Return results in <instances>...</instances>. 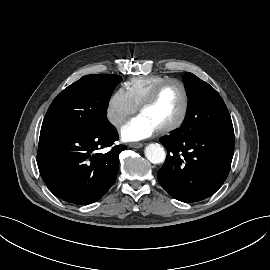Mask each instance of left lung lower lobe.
I'll list each match as a JSON object with an SVG mask.
<instances>
[{
	"label": "left lung lower lobe",
	"instance_id": "obj_1",
	"mask_svg": "<svg viewBox=\"0 0 270 270\" xmlns=\"http://www.w3.org/2000/svg\"><path fill=\"white\" fill-rule=\"evenodd\" d=\"M160 142L168 155L158 180L173 198L186 203L204 200L226 180L234 153V130H174Z\"/></svg>",
	"mask_w": 270,
	"mask_h": 270
}]
</instances>
